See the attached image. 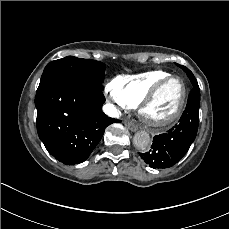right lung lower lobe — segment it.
<instances>
[{
	"label": "right lung lower lobe",
	"instance_id": "obj_1",
	"mask_svg": "<svg viewBox=\"0 0 229 229\" xmlns=\"http://www.w3.org/2000/svg\"><path fill=\"white\" fill-rule=\"evenodd\" d=\"M102 87L78 79L53 82L36 93L37 132L58 161L84 162L101 140L105 128L119 120L102 112Z\"/></svg>",
	"mask_w": 229,
	"mask_h": 229
}]
</instances>
